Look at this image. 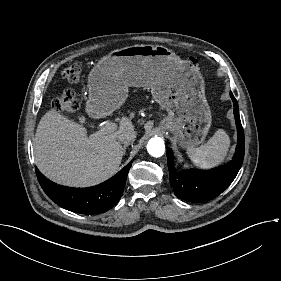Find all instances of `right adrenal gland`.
Wrapping results in <instances>:
<instances>
[{
  "label": "right adrenal gland",
  "mask_w": 281,
  "mask_h": 281,
  "mask_svg": "<svg viewBox=\"0 0 281 281\" xmlns=\"http://www.w3.org/2000/svg\"><path fill=\"white\" fill-rule=\"evenodd\" d=\"M129 144H124L123 148H122V151H123V155L126 154V149L128 147Z\"/></svg>",
  "instance_id": "2a0ac1e0"
}]
</instances>
